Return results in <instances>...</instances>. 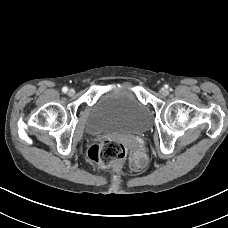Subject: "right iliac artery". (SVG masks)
Masks as SVG:
<instances>
[{
    "label": "right iliac artery",
    "mask_w": 228,
    "mask_h": 228,
    "mask_svg": "<svg viewBox=\"0 0 228 228\" xmlns=\"http://www.w3.org/2000/svg\"><path fill=\"white\" fill-rule=\"evenodd\" d=\"M62 91H63L64 93H66V92L68 91V88H67V87H63V88H62Z\"/></svg>",
    "instance_id": "82829eb1"
}]
</instances>
